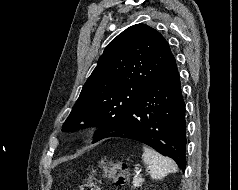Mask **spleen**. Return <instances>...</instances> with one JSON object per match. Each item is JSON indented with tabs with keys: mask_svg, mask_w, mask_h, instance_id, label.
<instances>
[{
	"mask_svg": "<svg viewBox=\"0 0 238 190\" xmlns=\"http://www.w3.org/2000/svg\"><path fill=\"white\" fill-rule=\"evenodd\" d=\"M142 158L144 163L150 166V176L152 179H162L169 173L177 172L176 163L168 158L160 155L153 149L144 146Z\"/></svg>",
	"mask_w": 238,
	"mask_h": 190,
	"instance_id": "spleen-1",
	"label": "spleen"
}]
</instances>
